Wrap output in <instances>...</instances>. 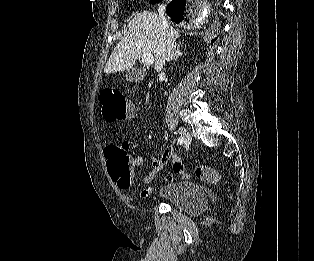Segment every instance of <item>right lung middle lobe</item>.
Listing matches in <instances>:
<instances>
[{"instance_id":"dd1d6c3e","label":"right lung middle lobe","mask_w":314,"mask_h":261,"mask_svg":"<svg viewBox=\"0 0 314 261\" xmlns=\"http://www.w3.org/2000/svg\"><path fill=\"white\" fill-rule=\"evenodd\" d=\"M162 0H151L150 4H154V3H157V2H160Z\"/></svg>"}]
</instances>
